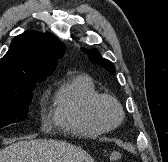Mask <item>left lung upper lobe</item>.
I'll use <instances>...</instances> for the list:
<instances>
[{
  "label": "left lung upper lobe",
  "mask_w": 168,
  "mask_h": 162,
  "mask_svg": "<svg viewBox=\"0 0 168 162\" xmlns=\"http://www.w3.org/2000/svg\"><path fill=\"white\" fill-rule=\"evenodd\" d=\"M82 50L85 53H87L88 58L93 63H96V64L100 65L105 70H107V71L111 72L113 75H115L116 71H115L114 65L109 60L102 58L101 55L99 54V52L96 49L86 50V49L82 48Z\"/></svg>",
  "instance_id": "1"
}]
</instances>
